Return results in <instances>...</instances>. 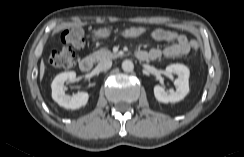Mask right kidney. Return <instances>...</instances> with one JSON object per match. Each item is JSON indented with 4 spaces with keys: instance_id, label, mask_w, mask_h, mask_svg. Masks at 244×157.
I'll use <instances>...</instances> for the list:
<instances>
[{
    "instance_id": "obj_1",
    "label": "right kidney",
    "mask_w": 244,
    "mask_h": 157,
    "mask_svg": "<svg viewBox=\"0 0 244 157\" xmlns=\"http://www.w3.org/2000/svg\"><path fill=\"white\" fill-rule=\"evenodd\" d=\"M67 80L75 81L76 73L74 71L63 72L54 78L51 84L53 100L66 109L76 110L84 107L88 102L89 94L87 92H78L72 96L66 94L64 83Z\"/></svg>"
}]
</instances>
